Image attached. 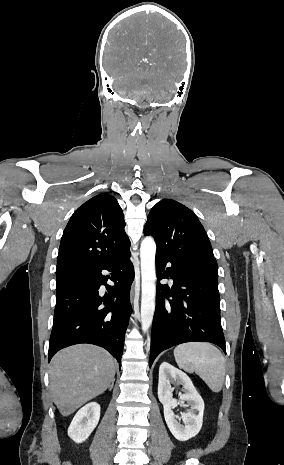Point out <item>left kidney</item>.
I'll use <instances>...</instances> for the list:
<instances>
[{"mask_svg": "<svg viewBox=\"0 0 284 465\" xmlns=\"http://www.w3.org/2000/svg\"><path fill=\"white\" fill-rule=\"evenodd\" d=\"M180 383L183 385L185 395H181V407H190L183 417L174 415L172 409L177 407L176 399L172 397V387L170 383ZM158 399L163 405L165 421L175 439L178 441H189L195 435H198L203 423L204 401L197 393L191 379L175 369L169 363H162L159 369L158 383ZM187 401V405H184ZM183 421L184 425H180L179 421Z\"/></svg>", "mask_w": 284, "mask_h": 465, "instance_id": "1", "label": "left kidney"}]
</instances>
